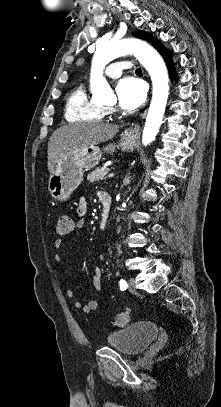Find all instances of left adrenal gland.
Instances as JSON below:
<instances>
[{
	"label": "left adrenal gland",
	"mask_w": 221,
	"mask_h": 407,
	"mask_svg": "<svg viewBox=\"0 0 221 407\" xmlns=\"http://www.w3.org/2000/svg\"><path fill=\"white\" fill-rule=\"evenodd\" d=\"M131 179H132V178L129 177V174L126 175L125 178H124V180H123L124 185L126 186L127 184H129L130 181H131Z\"/></svg>",
	"instance_id": "a2214340"
}]
</instances>
